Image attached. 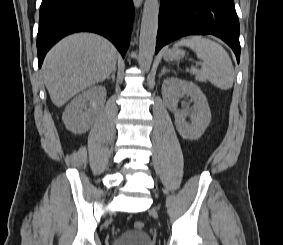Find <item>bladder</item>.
Masks as SVG:
<instances>
[{
    "label": "bladder",
    "mask_w": 283,
    "mask_h": 245,
    "mask_svg": "<svg viewBox=\"0 0 283 245\" xmlns=\"http://www.w3.org/2000/svg\"><path fill=\"white\" fill-rule=\"evenodd\" d=\"M112 245H154V241L145 231L128 230L116 237Z\"/></svg>",
    "instance_id": "obj_1"
}]
</instances>
